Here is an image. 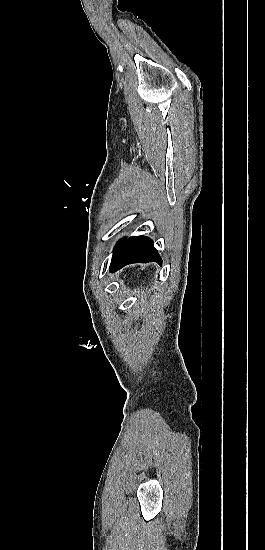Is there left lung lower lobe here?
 Returning a JSON list of instances; mask_svg holds the SVG:
<instances>
[{"instance_id":"1","label":"left lung lower lobe","mask_w":265,"mask_h":550,"mask_svg":"<svg viewBox=\"0 0 265 550\" xmlns=\"http://www.w3.org/2000/svg\"><path fill=\"white\" fill-rule=\"evenodd\" d=\"M162 263L153 241L148 237L134 236L123 240L114 250L110 270L116 271L131 263Z\"/></svg>"}]
</instances>
